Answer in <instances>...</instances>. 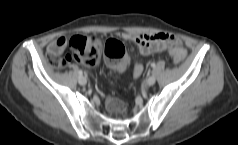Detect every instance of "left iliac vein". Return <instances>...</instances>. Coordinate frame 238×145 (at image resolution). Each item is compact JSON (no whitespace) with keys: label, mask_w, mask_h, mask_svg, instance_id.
<instances>
[{"label":"left iliac vein","mask_w":238,"mask_h":145,"mask_svg":"<svg viewBox=\"0 0 238 145\" xmlns=\"http://www.w3.org/2000/svg\"><path fill=\"white\" fill-rule=\"evenodd\" d=\"M155 82H156V78H155L154 76H150V77H148L147 80H146V84H147L148 86L154 85Z\"/></svg>","instance_id":"1"}]
</instances>
